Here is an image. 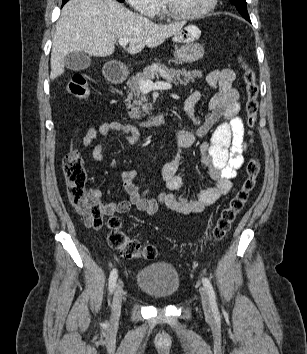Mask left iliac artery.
<instances>
[{"instance_id": "44dca946", "label": "left iliac artery", "mask_w": 307, "mask_h": 354, "mask_svg": "<svg viewBox=\"0 0 307 354\" xmlns=\"http://www.w3.org/2000/svg\"><path fill=\"white\" fill-rule=\"evenodd\" d=\"M202 282H203L204 287L207 290V293L209 294V299H210L212 310L214 312H217L218 309H217V303H216V295H215V291L213 289V286H212L210 280L206 277L202 278Z\"/></svg>"}]
</instances>
